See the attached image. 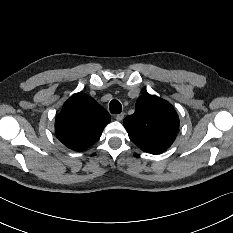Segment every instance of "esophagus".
I'll list each match as a JSON object with an SVG mask.
<instances>
[{"label": "esophagus", "instance_id": "esophagus-1", "mask_svg": "<svg viewBox=\"0 0 233 233\" xmlns=\"http://www.w3.org/2000/svg\"><path fill=\"white\" fill-rule=\"evenodd\" d=\"M124 118V113H120L116 115V120L121 121Z\"/></svg>", "mask_w": 233, "mask_h": 233}]
</instances>
